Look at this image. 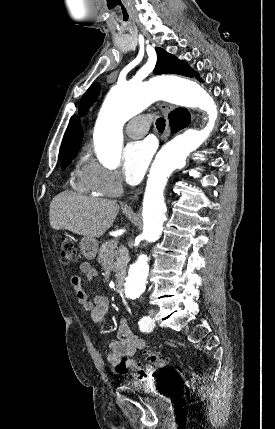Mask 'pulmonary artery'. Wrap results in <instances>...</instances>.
<instances>
[{
  "label": "pulmonary artery",
  "instance_id": "1",
  "mask_svg": "<svg viewBox=\"0 0 275 429\" xmlns=\"http://www.w3.org/2000/svg\"><path fill=\"white\" fill-rule=\"evenodd\" d=\"M148 130L149 117L147 115H140L132 119L126 127V133L131 138L143 137Z\"/></svg>",
  "mask_w": 275,
  "mask_h": 429
}]
</instances>
